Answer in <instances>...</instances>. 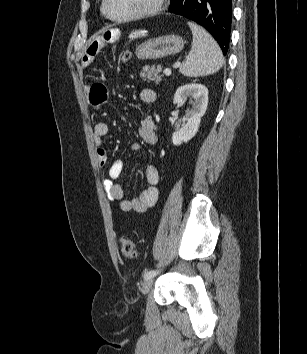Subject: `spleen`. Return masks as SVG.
<instances>
[{
    "instance_id": "1",
    "label": "spleen",
    "mask_w": 307,
    "mask_h": 354,
    "mask_svg": "<svg viewBox=\"0 0 307 354\" xmlns=\"http://www.w3.org/2000/svg\"><path fill=\"white\" fill-rule=\"evenodd\" d=\"M192 34V49L180 67L188 77L211 75L222 67L223 55L214 38L202 27L189 22Z\"/></svg>"
}]
</instances>
